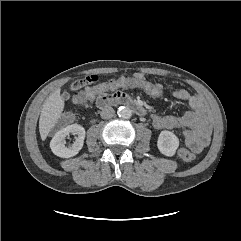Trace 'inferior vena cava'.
<instances>
[{
    "label": "inferior vena cava",
    "mask_w": 241,
    "mask_h": 241,
    "mask_svg": "<svg viewBox=\"0 0 241 241\" xmlns=\"http://www.w3.org/2000/svg\"><path fill=\"white\" fill-rule=\"evenodd\" d=\"M114 114H115V111L112 107H106L100 113L103 119H110L114 116Z\"/></svg>",
    "instance_id": "1"
}]
</instances>
